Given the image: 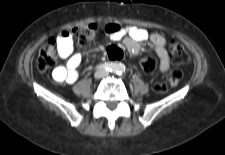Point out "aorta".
Listing matches in <instances>:
<instances>
[{
	"label": "aorta",
	"mask_w": 225,
	"mask_h": 155,
	"mask_svg": "<svg viewBox=\"0 0 225 155\" xmlns=\"http://www.w3.org/2000/svg\"><path fill=\"white\" fill-rule=\"evenodd\" d=\"M116 71L118 72V73H121V72H123L124 71V66L123 65H118L117 66V68H116Z\"/></svg>",
	"instance_id": "obj_1"
}]
</instances>
